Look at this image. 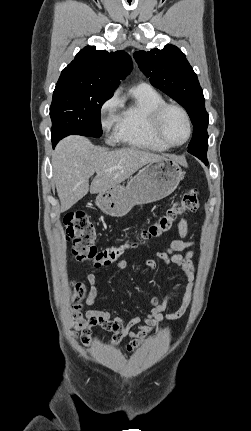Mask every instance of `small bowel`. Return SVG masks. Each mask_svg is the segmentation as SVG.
<instances>
[{
  "label": "small bowel",
  "instance_id": "small-bowel-1",
  "mask_svg": "<svg viewBox=\"0 0 251 431\" xmlns=\"http://www.w3.org/2000/svg\"><path fill=\"white\" fill-rule=\"evenodd\" d=\"M179 239L173 240L163 249L156 251L145 261L146 268L155 272L158 269V263L155 259L162 260L166 265L177 267L183 276L187 279L188 285L186 291L180 300L177 308L169 313L164 314L170 303V296L160 300L157 296L149 300L150 312L143 318L132 317L129 320H124L119 316L113 315L108 310L89 309L83 314L81 306H74L71 310L72 324L76 331L81 332L80 340L84 345L90 343L91 329L95 326H100L103 329L112 333L111 344L116 347L125 337L130 338V342L126 345L128 351H133L141 345L145 337L164 320H176L180 318L187 306L189 305L192 293V283L195 278V269L192 261L194 252L190 249L192 242L187 241L186 235L188 232V223L185 219H181L178 224ZM127 262L124 260L117 261L114 268L118 271L127 269ZM101 273L92 272L87 276L89 284V292L86 298V305L91 306L97 299L98 290L96 280ZM177 284L173 291L178 290Z\"/></svg>",
  "mask_w": 251,
  "mask_h": 431
}]
</instances>
